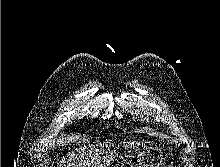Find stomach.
Listing matches in <instances>:
<instances>
[{
	"label": "stomach",
	"mask_w": 220,
	"mask_h": 167,
	"mask_svg": "<svg viewBox=\"0 0 220 167\" xmlns=\"http://www.w3.org/2000/svg\"><path fill=\"white\" fill-rule=\"evenodd\" d=\"M108 167H164L163 155L154 143H124L118 146Z\"/></svg>",
	"instance_id": "stomach-1"
}]
</instances>
